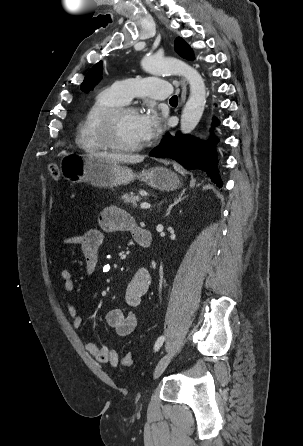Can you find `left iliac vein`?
I'll return each mask as SVG.
<instances>
[{
  "instance_id": "4c4485c4",
  "label": "left iliac vein",
  "mask_w": 303,
  "mask_h": 446,
  "mask_svg": "<svg viewBox=\"0 0 303 446\" xmlns=\"http://www.w3.org/2000/svg\"><path fill=\"white\" fill-rule=\"evenodd\" d=\"M172 357H173V352L171 351L160 359V361L157 363L155 370H154V374H153L154 379H157L164 372V370L170 363Z\"/></svg>"
}]
</instances>
